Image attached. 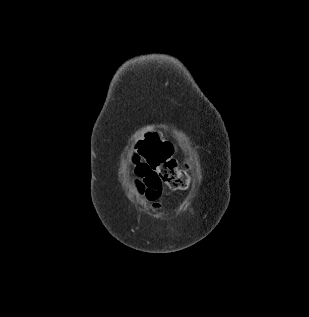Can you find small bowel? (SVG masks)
Here are the masks:
<instances>
[{
	"instance_id": "small-bowel-1",
	"label": "small bowel",
	"mask_w": 309,
	"mask_h": 317,
	"mask_svg": "<svg viewBox=\"0 0 309 317\" xmlns=\"http://www.w3.org/2000/svg\"><path fill=\"white\" fill-rule=\"evenodd\" d=\"M135 173V186L137 190L143 194L153 205L155 210L162 207L161 197V184H152L149 181L152 171L144 161L136 160Z\"/></svg>"
}]
</instances>
